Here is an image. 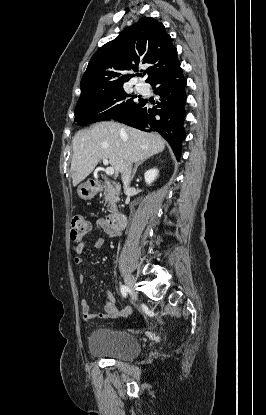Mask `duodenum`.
Segmentation results:
<instances>
[{
    "mask_svg": "<svg viewBox=\"0 0 266 415\" xmlns=\"http://www.w3.org/2000/svg\"><path fill=\"white\" fill-rule=\"evenodd\" d=\"M91 187L93 189H99L100 188V184H98L97 182L92 181L91 182ZM127 223V218L124 214L121 213H113L110 214L106 219H105V224L108 228L114 230V231H119L122 228L125 227Z\"/></svg>",
    "mask_w": 266,
    "mask_h": 415,
    "instance_id": "obj_1",
    "label": "duodenum"
}]
</instances>
